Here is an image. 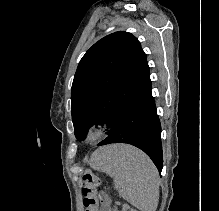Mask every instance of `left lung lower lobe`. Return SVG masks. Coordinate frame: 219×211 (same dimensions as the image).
I'll use <instances>...</instances> for the list:
<instances>
[{
	"instance_id": "1",
	"label": "left lung lower lobe",
	"mask_w": 219,
	"mask_h": 211,
	"mask_svg": "<svg viewBox=\"0 0 219 211\" xmlns=\"http://www.w3.org/2000/svg\"><path fill=\"white\" fill-rule=\"evenodd\" d=\"M112 143H126L143 150L161 172V125L151 93V82L131 101L115 128L98 146Z\"/></svg>"
}]
</instances>
